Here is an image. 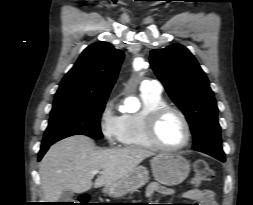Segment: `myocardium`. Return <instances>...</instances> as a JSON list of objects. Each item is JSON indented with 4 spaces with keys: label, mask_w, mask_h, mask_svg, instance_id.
Wrapping results in <instances>:
<instances>
[{
    "label": "myocardium",
    "mask_w": 253,
    "mask_h": 205,
    "mask_svg": "<svg viewBox=\"0 0 253 205\" xmlns=\"http://www.w3.org/2000/svg\"><path fill=\"white\" fill-rule=\"evenodd\" d=\"M170 113L177 114L181 118L186 128V138L182 144L177 145V146L165 145L164 143L161 142L158 135V128L162 119ZM146 135H147L148 140L151 142V144L155 148L163 150V151H177V150L183 149L189 144L192 137V130H191L190 122L183 111H181L180 109L176 107L165 105V106H161L159 108L154 109L148 115L147 121H146Z\"/></svg>",
    "instance_id": "1"
}]
</instances>
